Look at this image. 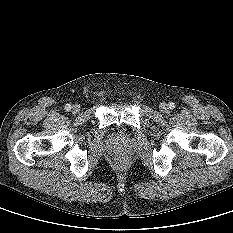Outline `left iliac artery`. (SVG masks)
<instances>
[{
	"mask_svg": "<svg viewBox=\"0 0 233 233\" xmlns=\"http://www.w3.org/2000/svg\"><path fill=\"white\" fill-rule=\"evenodd\" d=\"M169 109L173 110L175 108V104L173 102H170L168 104Z\"/></svg>",
	"mask_w": 233,
	"mask_h": 233,
	"instance_id": "left-iliac-artery-1",
	"label": "left iliac artery"
}]
</instances>
